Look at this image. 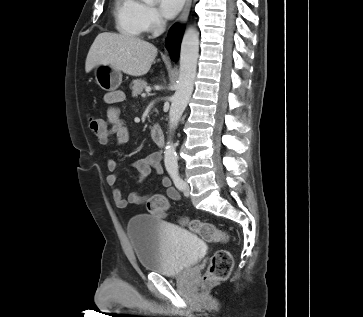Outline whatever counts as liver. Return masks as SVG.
Returning <instances> with one entry per match:
<instances>
[{
  "label": "liver",
  "instance_id": "1",
  "mask_svg": "<svg viewBox=\"0 0 363 317\" xmlns=\"http://www.w3.org/2000/svg\"><path fill=\"white\" fill-rule=\"evenodd\" d=\"M157 56V48L138 37L100 33L88 52L85 71L89 73L100 64L110 65L131 76L145 75Z\"/></svg>",
  "mask_w": 363,
  "mask_h": 317
}]
</instances>
